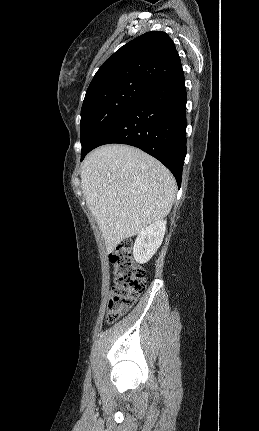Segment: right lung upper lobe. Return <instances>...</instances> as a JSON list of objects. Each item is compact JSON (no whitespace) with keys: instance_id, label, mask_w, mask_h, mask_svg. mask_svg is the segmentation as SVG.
<instances>
[{"instance_id":"cb5924a9","label":"right lung upper lobe","mask_w":259,"mask_h":431,"mask_svg":"<svg viewBox=\"0 0 259 431\" xmlns=\"http://www.w3.org/2000/svg\"><path fill=\"white\" fill-rule=\"evenodd\" d=\"M183 74L174 42L165 32H147L122 46L96 72L86 96L122 84L151 88Z\"/></svg>"}]
</instances>
